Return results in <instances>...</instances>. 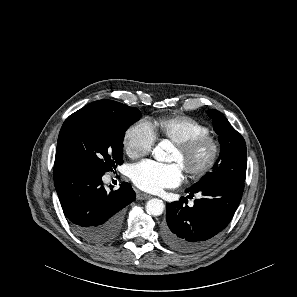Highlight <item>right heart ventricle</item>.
<instances>
[{"instance_id":"obj_1","label":"right heart ventricle","mask_w":297,"mask_h":297,"mask_svg":"<svg viewBox=\"0 0 297 297\" xmlns=\"http://www.w3.org/2000/svg\"><path fill=\"white\" fill-rule=\"evenodd\" d=\"M152 128L155 135L173 143L210 133V128L206 124L186 115L160 117Z\"/></svg>"}]
</instances>
